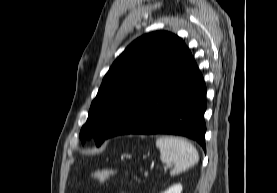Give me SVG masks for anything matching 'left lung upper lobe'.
I'll return each instance as SVG.
<instances>
[{
	"label": "left lung upper lobe",
	"mask_w": 277,
	"mask_h": 193,
	"mask_svg": "<svg viewBox=\"0 0 277 193\" xmlns=\"http://www.w3.org/2000/svg\"><path fill=\"white\" fill-rule=\"evenodd\" d=\"M191 56L181 38L165 31L152 32L132 42L103 78L80 131L82 143L93 136L100 146L134 104Z\"/></svg>",
	"instance_id": "obj_1"
}]
</instances>
